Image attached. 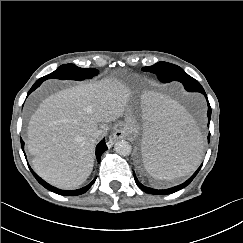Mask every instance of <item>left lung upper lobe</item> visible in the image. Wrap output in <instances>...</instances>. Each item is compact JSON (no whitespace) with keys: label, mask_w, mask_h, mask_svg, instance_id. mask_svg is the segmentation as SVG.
I'll return each mask as SVG.
<instances>
[{"label":"left lung upper lobe","mask_w":243,"mask_h":243,"mask_svg":"<svg viewBox=\"0 0 243 243\" xmlns=\"http://www.w3.org/2000/svg\"><path fill=\"white\" fill-rule=\"evenodd\" d=\"M142 70L156 74L158 79L163 83L174 80L180 81L183 85L198 83L197 80L189 76L182 68L167 62H158L152 66L143 67Z\"/></svg>","instance_id":"left-lung-upper-lobe-1"}]
</instances>
